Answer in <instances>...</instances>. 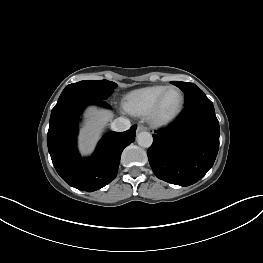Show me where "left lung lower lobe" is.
<instances>
[{"mask_svg": "<svg viewBox=\"0 0 263 263\" xmlns=\"http://www.w3.org/2000/svg\"><path fill=\"white\" fill-rule=\"evenodd\" d=\"M219 135V122L208 98L185 106L173 125L153 135L147 155L154 174L180 186L196 183L213 166Z\"/></svg>", "mask_w": 263, "mask_h": 263, "instance_id": "0a47b994", "label": "left lung lower lobe"}]
</instances>
